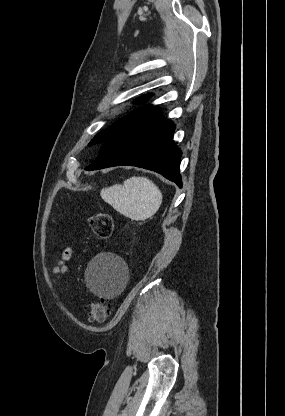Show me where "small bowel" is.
<instances>
[{
	"label": "small bowel",
	"mask_w": 285,
	"mask_h": 416,
	"mask_svg": "<svg viewBox=\"0 0 285 416\" xmlns=\"http://www.w3.org/2000/svg\"><path fill=\"white\" fill-rule=\"evenodd\" d=\"M72 255V248L68 247L65 249L62 260L58 263V265L54 268V273L60 277L62 274H64L67 271V267L65 265V262L70 259Z\"/></svg>",
	"instance_id": "obj_1"
}]
</instances>
